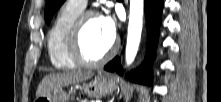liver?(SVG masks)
Segmentation results:
<instances>
[{"label":"liver","mask_w":221,"mask_h":102,"mask_svg":"<svg viewBox=\"0 0 221 102\" xmlns=\"http://www.w3.org/2000/svg\"><path fill=\"white\" fill-rule=\"evenodd\" d=\"M93 76V73L83 71H69L57 74H49L38 86L36 96H45L53 90L61 89L63 86L86 81Z\"/></svg>","instance_id":"6515ba94"}]
</instances>
